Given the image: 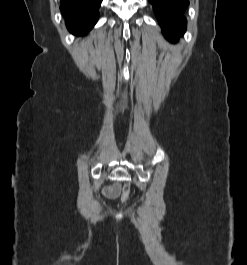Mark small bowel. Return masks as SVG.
<instances>
[{
    "label": "small bowel",
    "mask_w": 247,
    "mask_h": 265,
    "mask_svg": "<svg viewBox=\"0 0 247 265\" xmlns=\"http://www.w3.org/2000/svg\"><path fill=\"white\" fill-rule=\"evenodd\" d=\"M103 194L108 198H116L120 194V186L118 184L103 189Z\"/></svg>",
    "instance_id": "small-bowel-1"
}]
</instances>
